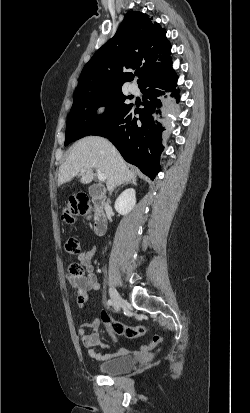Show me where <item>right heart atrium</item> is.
Listing matches in <instances>:
<instances>
[{
    "label": "right heart atrium",
    "instance_id": "1",
    "mask_svg": "<svg viewBox=\"0 0 250 413\" xmlns=\"http://www.w3.org/2000/svg\"><path fill=\"white\" fill-rule=\"evenodd\" d=\"M110 109V105L108 102H101L95 108V118L101 119L104 118Z\"/></svg>",
    "mask_w": 250,
    "mask_h": 413
}]
</instances>
